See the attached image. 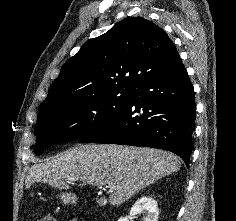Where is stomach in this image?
Segmentation results:
<instances>
[{
	"label": "stomach",
	"instance_id": "1",
	"mask_svg": "<svg viewBox=\"0 0 236 221\" xmlns=\"http://www.w3.org/2000/svg\"><path fill=\"white\" fill-rule=\"evenodd\" d=\"M64 203H74L76 201V196L68 193H62L60 195Z\"/></svg>",
	"mask_w": 236,
	"mask_h": 221
}]
</instances>
